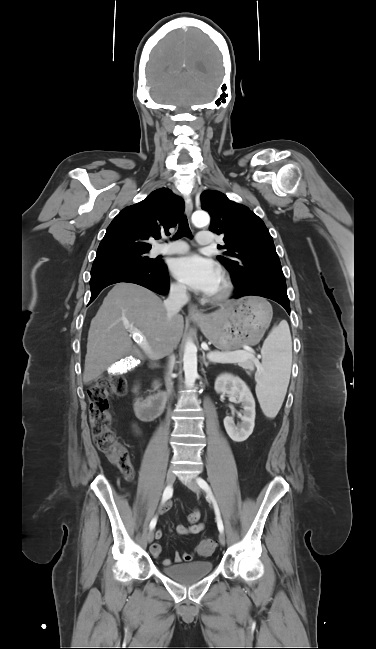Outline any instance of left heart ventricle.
<instances>
[{
    "instance_id": "b2bd125f",
    "label": "left heart ventricle",
    "mask_w": 376,
    "mask_h": 649,
    "mask_svg": "<svg viewBox=\"0 0 376 649\" xmlns=\"http://www.w3.org/2000/svg\"><path fill=\"white\" fill-rule=\"evenodd\" d=\"M220 288H221V280L218 282L216 288L214 289V291L212 293L218 292L220 290Z\"/></svg>"
}]
</instances>
